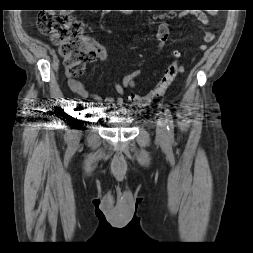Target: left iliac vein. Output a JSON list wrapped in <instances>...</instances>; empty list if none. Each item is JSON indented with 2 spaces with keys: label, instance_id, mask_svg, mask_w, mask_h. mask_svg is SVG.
<instances>
[{
  "label": "left iliac vein",
  "instance_id": "1",
  "mask_svg": "<svg viewBox=\"0 0 253 253\" xmlns=\"http://www.w3.org/2000/svg\"><path fill=\"white\" fill-rule=\"evenodd\" d=\"M156 138L160 143H165L168 139L167 130H166V122L164 119H160L157 123Z\"/></svg>",
  "mask_w": 253,
  "mask_h": 253
}]
</instances>
